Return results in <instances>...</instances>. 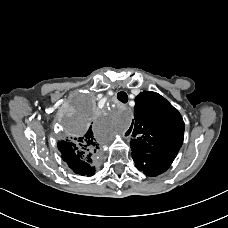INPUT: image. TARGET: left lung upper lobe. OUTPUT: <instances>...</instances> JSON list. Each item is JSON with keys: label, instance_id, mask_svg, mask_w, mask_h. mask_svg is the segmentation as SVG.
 Segmentation results:
<instances>
[{"label": "left lung upper lobe", "instance_id": "5c2ea615", "mask_svg": "<svg viewBox=\"0 0 228 228\" xmlns=\"http://www.w3.org/2000/svg\"><path fill=\"white\" fill-rule=\"evenodd\" d=\"M185 124L181 114L165 98L143 91L135 98L134 120L128 130L132 157L174 160L183 143Z\"/></svg>", "mask_w": 228, "mask_h": 228}]
</instances>
